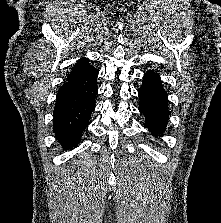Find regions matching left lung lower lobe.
<instances>
[{
	"instance_id": "1",
	"label": "left lung lower lobe",
	"mask_w": 221,
	"mask_h": 223,
	"mask_svg": "<svg viewBox=\"0 0 221 223\" xmlns=\"http://www.w3.org/2000/svg\"><path fill=\"white\" fill-rule=\"evenodd\" d=\"M139 111L145 116V127L155 135L163 134L166 130L168 117V96L162 86L159 74L147 72L143 77V84L138 90Z\"/></svg>"
}]
</instances>
